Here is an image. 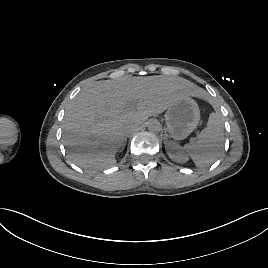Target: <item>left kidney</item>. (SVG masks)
<instances>
[{
    "instance_id": "5707ae66",
    "label": "left kidney",
    "mask_w": 268,
    "mask_h": 268,
    "mask_svg": "<svg viewBox=\"0 0 268 268\" xmlns=\"http://www.w3.org/2000/svg\"><path fill=\"white\" fill-rule=\"evenodd\" d=\"M167 153L170 157L175 162L178 163H185L188 160L187 155L183 152L181 146L177 143L170 142L166 146Z\"/></svg>"
}]
</instances>
